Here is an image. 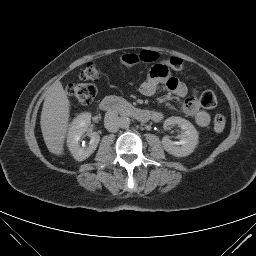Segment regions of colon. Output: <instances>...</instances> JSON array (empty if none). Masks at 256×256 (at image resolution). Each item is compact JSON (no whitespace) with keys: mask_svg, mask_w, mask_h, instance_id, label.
Listing matches in <instances>:
<instances>
[{"mask_svg":"<svg viewBox=\"0 0 256 256\" xmlns=\"http://www.w3.org/2000/svg\"><path fill=\"white\" fill-rule=\"evenodd\" d=\"M158 59V54L153 51H143L140 54L130 53L121 56L120 61L124 65H135L139 62H154ZM165 63L172 69L180 71L184 65L181 59L171 57ZM100 77V71L94 62L86 64L80 73L83 81H96ZM67 92L78 103L87 105L96 98L98 89L94 84L90 83H73L68 86ZM201 106L207 109H213L217 106L216 95L212 91H205L199 98ZM226 125V118L223 114H217L214 117V130L218 133L222 132Z\"/></svg>","mask_w":256,"mask_h":256,"instance_id":"1","label":"colon"}]
</instances>
